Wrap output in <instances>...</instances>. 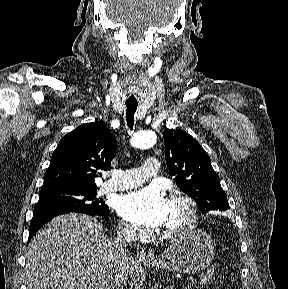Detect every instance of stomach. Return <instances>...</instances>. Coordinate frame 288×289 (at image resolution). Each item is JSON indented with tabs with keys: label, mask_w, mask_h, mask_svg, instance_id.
<instances>
[{
	"label": "stomach",
	"mask_w": 288,
	"mask_h": 289,
	"mask_svg": "<svg viewBox=\"0 0 288 289\" xmlns=\"http://www.w3.org/2000/svg\"><path fill=\"white\" fill-rule=\"evenodd\" d=\"M214 254L211 237L202 230H195L175 239L159 258L144 264L151 268L195 274L211 264Z\"/></svg>",
	"instance_id": "0dacf381"
}]
</instances>
